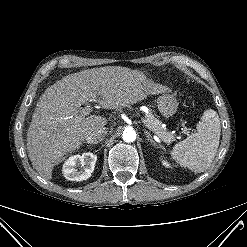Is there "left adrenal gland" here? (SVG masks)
<instances>
[{
	"instance_id": "obj_1",
	"label": "left adrenal gland",
	"mask_w": 247,
	"mask_h": 247,
	"mask_svg": "<svg viewBox=\"0 0 247 247\" xmlns=\"http://www.w3.org/2000/svg\"><path fill=\"white\" fill-rule=\"evenodd\" d=\"M144 133L147 137V140L151 142L154 147H158V144L153 140L151 134L147 130H144Z\"/></svg>"
}]
</instances>
